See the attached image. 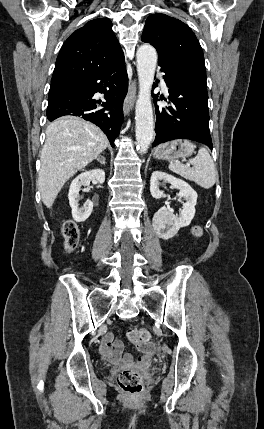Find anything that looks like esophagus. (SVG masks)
<instances>
[{"label":"esophagus","instance_id":"1","mask_svg":"<svg viewBox=\"0 0 264 429\" xmlns=\"http://www.w3.org/2000/svg\"><path fill=\"white\" fill-rule=\"evenodd\" d=\"M136 94H137V84L134 80L132 84L130 85L129 92L125 98L124 101V114H127L128 110H132L135 100H136Z\"/></svg>","mask_w":264,"mask_h":429}]
</instances>
